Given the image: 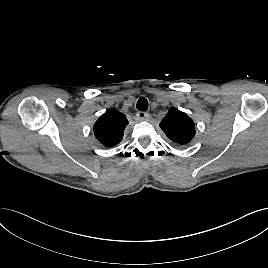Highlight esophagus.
Listing matches in <instances>:
<instances>
[{
  "instance_id": "obj_1",
  "label": "esophagus",
  "mask_w": 268,
  "mask_h": 268,
  "mask_svg": "<svg viewBox=\"0 0 268 268\" xmlns=\"http://www.w3.org/2000/svg\"><path fill=\"white\" fill-rule=\"evenodd\" d=\"M137 118L141 121L146 120L148 118V114L144 111H139L137 113Z\"/></svg>"
}]
</instances>
